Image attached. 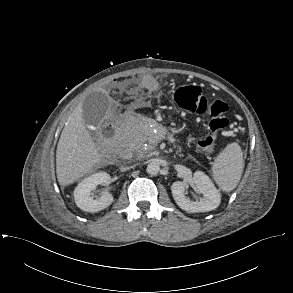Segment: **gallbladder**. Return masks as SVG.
<instances>
[{
    "label": "gallbladder",
    "instance_id": "gallbladder-1",
    "mask_svg": "<svg viewBox=\"0 0 293 293\" xmlns=\"http://www.w3.org/2000/svg\"><path fill=\"white\" fill-rule=\"evenodd\" d=\"M110 106L107 94L103 92H93L89 94L82 104V116L87 125L97 126L105 117Z\"/></svg>",
    "mask_w": 293,
    "mask_h": 293
}]
</instances>
